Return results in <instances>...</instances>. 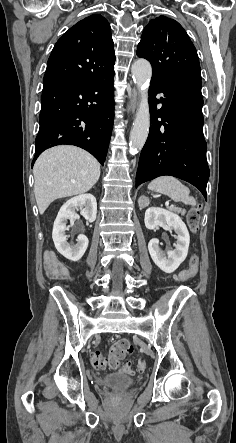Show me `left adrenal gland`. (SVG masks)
<instances>
[{
    "label": "left adrenal gland",
    "mask_w": 236,
    "mask_h": 443,
    "mask_svg": "<svg viewBox=\"0 0 236 443\" xmlns=\"http://www.w3.org/2000/svg\"><path fill=\"white\" fill-rule=\"evenodd\" d=\"M139 206H141V203H140V201H139Z\"/></svg>",
    "instance_id": "left-adrenal-gland-1"
}]
</instances>
